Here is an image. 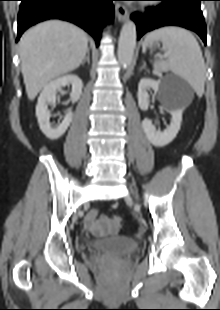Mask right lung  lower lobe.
I'll list each match as a JSON object with an SVG mask.
<instances>
[{
  "label": "right lung lower lobe",
  "instance_id": "1",
  "mask_svg": "<svg viewBox=\"0 0 220 310\" xmlns=\"http://www.w3.org/2000/svg\"><path fill=\"white\" fill-rule=\"evenodd\" d=\"M113 0H21L18 14V37L30 26L48 19L70 21L99 44L105 21H112Z\"/></svg>",
  "mask_w": 220,
  "mask_h": 310
}]
</instances>
